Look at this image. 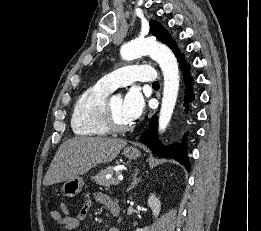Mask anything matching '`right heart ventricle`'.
<instances>
[{
  "label": "right heart ventricle",
  "mask_w": 261,
  "mask_h": 231,
  "mask_svg": "<svg viewBox=\"0 0 261 231\" xmlns=\"http://www.w3.org/2000/svg\"><path fill=\"white\" fill-rule=\"evenodd\" d=\"M111 91L97 83L79 96L71 115V127L76 135L102 137L111 132L103 122L104 105Z\"/></svg>",
  "instance_id": "right-heart-ventricle-1"
}]
</instances>
